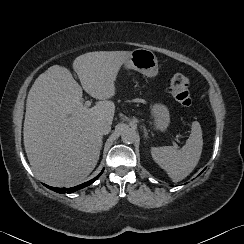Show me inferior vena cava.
Returning <instances> with one entry per match:
<instances>
[{"label":"inferior vena cava","mask_w":244,"mask_h":244,"mask_svg":"<svg viewBox=\"0 0 244 244\" xmlns=\"http://www.w3.org/2000/svg\"><path fill=\"white\" fill-rule=\"evenodd\" d=\"M97 129L102 135L108 134L111 130V123H109L108 121H101L100 123H98Z\"/></svg>","instance_id":"obj_1"}]
</instances>
